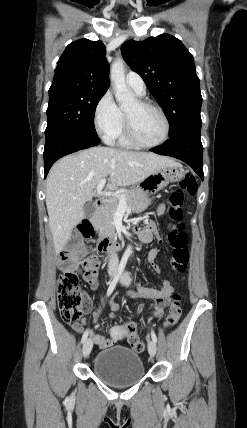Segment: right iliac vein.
<instances>
[{
  "label": "right iliac vein",
  "instance_id": "63e3f726",
  "mask_svg": "<svg viewBox=\"0 0 247 428\" xmlns=\"http://www.w3.org/2000/svg\"><path fill=\"white\" fill-rule=\"evenodd\" d=\"M111 275H113V273ZM92 347H93V341L91 338H89L84 342L83 349H82V353L85 358L89 356L92 350Z\"/></svg>",
  "mask_w": 247,
  "mask_h": 428
}]
</instances>
